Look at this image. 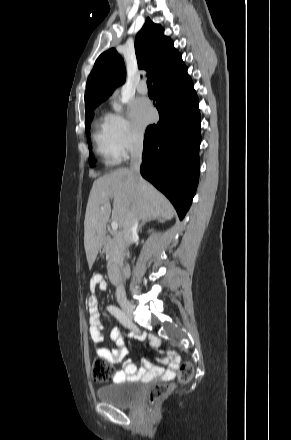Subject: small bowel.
<instances>
[{
    "mask_svg": "<svg viewBox=\"0 0 291 440\" xmlns=\"http://www.w3.org/2000/svg\"><path fill=\"white\" fill-rule=\"evenodd\" d=\"M91 294L87 297V305L90 313V335L92 342L96 348L97 355L104 358L111 364L120 363L128 354V350L125 345V337L118 329H112L110 338L113 343L111 349L102 347L104 342L103 325L101 316L98 311V299L94 295L96 288L106 289L107 285L104 282L101 275L96 274L90 280ZM159 341L156 337H150L149 346L152 349L158 347ZM168 364V369H162L153 365L148 360H143L141 367H137L132 361H126L120 371H116L113 374L114 381H120L125 378L129 380L150 381L158 376L164 378L173 377L180 366L181 359L176 353H171L168 358L163 359Z\"/></svg>",
    "mask_w": 291,
    "mask_h": 440,
    "instance_id": "c3829d8e",
    "label": "small bowel"
}]
</instances>
